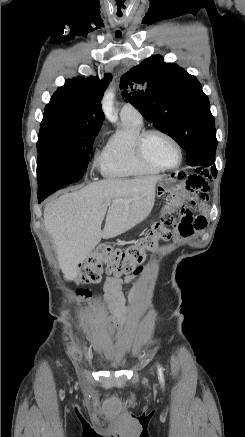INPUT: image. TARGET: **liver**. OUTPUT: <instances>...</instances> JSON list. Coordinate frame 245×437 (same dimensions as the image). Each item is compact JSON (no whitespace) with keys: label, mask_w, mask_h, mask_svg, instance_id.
Listing matches in <instances>:
<instances>
[{"label":"liver","mask_w":245,"mask_h":437,"mask_svg":"<svg viewBox=\"0 0 245 437\" xmlns=\"http://www.w3.org/2000/svg\"><path fill=\"white\" fill-rule=\"evenodd\" d=\"M162 176L106 179L65 193L44 209V226L54 240L59 266L71 281L101 239L119 236L151 213ZM118 199L126 202H116ZM110 200L111 204L107 205ZM106 216L105 225H101Z\"/></svg>","instance_id":"6515ba94"}]
</instances>
